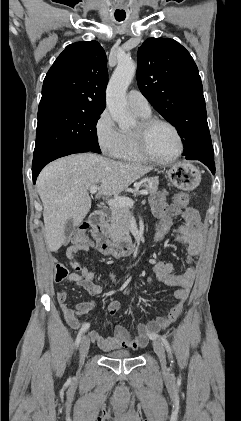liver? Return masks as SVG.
Listing matches in <instances>:
<instances>
[{
    "mask_svg": "<svg viewBox=\"0 0 241 421\" xmlns=\"http://www.w3.org/2000/svg\"><path fill=\"white\" fill-rule=\"evenodd\" d=\"M151 170L150 166L115 161L92 153L67 156L47 165L36 185L43 203L49 250L55 252L64 243V228L69 219L78 225L88 214L90 186L101 183L96 198L112 196Z\"/></svg>",
    "mask_w": 241,
    "mask_h": 421,
    "instance_id": "1",
    "label": "liver"
}]
</instances>
